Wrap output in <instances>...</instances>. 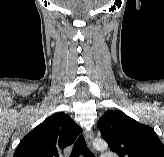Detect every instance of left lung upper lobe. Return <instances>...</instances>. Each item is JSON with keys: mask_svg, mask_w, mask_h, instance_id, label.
Segmentation results:
<instances>
[{"mask_svg": "<svg viewBox=\"0 0 164 157\" xmlns=\"http://www.w3.org/2000/svg\"><path fill=\"white\" fill-rule=\"evenodd\" d=\"M98 127L119 157H164V145L154 129L121 111H107L100 118Z\"/></svg>", "mask_w": 164, "mask_h": 157, "instance_id": "5c2ea615", "label": "left lung upper lobe"}]
</instances>
